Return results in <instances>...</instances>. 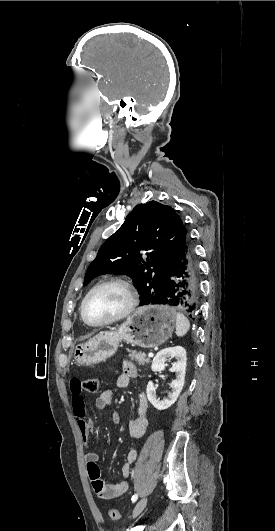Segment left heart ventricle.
<instances>
[{
    "mask_svg": "<svg viewBox=\"0 0 275 531\" xmlns=\"http://www.w3.org/2000/svg\"><path fill=\"white\" fill-rule=\"evenodd\" d=\"M127 304L128 297L124 289L108 285L88 297L84 304V315L90 322H101L124 311Z\"/></svg>",
    "mask_w": 275,
    "mask_h": 531,
    "instance_id": "left-heart-ventricle-1",
    "label": "left heart ventricle"
}]
</instances>
